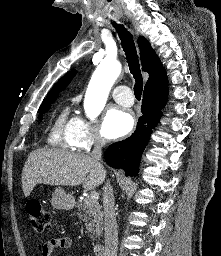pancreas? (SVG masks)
Segmentation results:
<instances>
[{
	"instance_id": "1",
	"label": "pancreas",
	"mask_w": 221,
	"mask_h": 256,
	"mask_svg": "<svg viewBox=\"0 0 221 256\" xmlns=\"http://www.w3.org/2000/svg\"><path fill=\"white\" fill-rule=\"evenodd\" d=\"M78 212L80 218L85 220V226L88 236L91 239L99 237L101 235V229L103 227V212L101 206L97 201L92 200L90 197L80 199L77 203Z\"/></svg>"
}]
</instances>
